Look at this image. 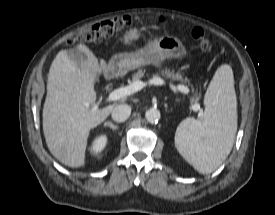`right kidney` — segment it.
Returning <instances> with one entry per match:
<instances>
[{
    "mask_svg": "<svg viewBox=\"0 0 275 215\" xmlns=\"http://www.w3.org/2000/svg\"><path fill=\"white\" fill-rule=\"evenodd\" d=\"M107 140L108 139L106 135H101L95 138L91 146V151L96 154L101 152L106 146Z\"/></svg>",
    "mask_w": 275,
    "mask_h": 215,
    "instance_id": "1",
    "label": "right kidney"
}]
</instances>
